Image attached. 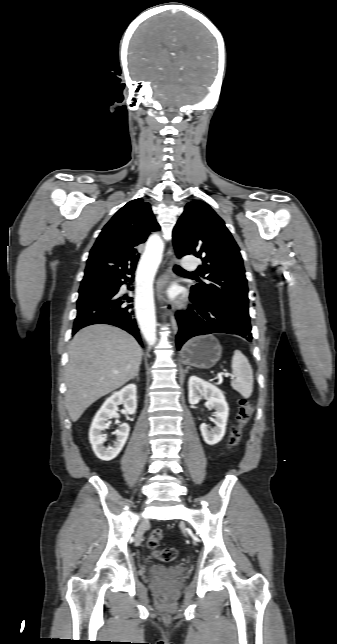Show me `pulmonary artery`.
<instances>
[{
    "mask_svg": "<svg viewBox=\"0 0 337 644\" xmlns=\"http://www.w3.org/2000/svg\"><path fill=\"white\" fill-rule=\"evenodd\" d=\"M182 267H183L185 270H188V271H193V270H195V269H196V267H197V263H196L195 258H194L193 256H185V257L182 259Z\"/></svg>",
    "mask_w": 337,
    "mask_h": 644,
    "instance_id": "pulmonary-artery-1",
    "label": "pulmonary artery"
}]
</instances>
